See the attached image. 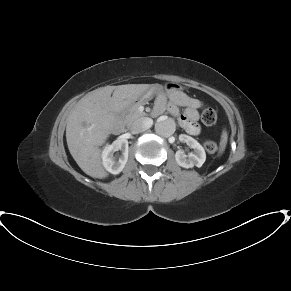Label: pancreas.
Returning <instances> with one entry per match:
<instances>
[{"instance_id":"cf45deb5","label":"pancreas","mask_w":291,"mask_h":291,"mask_svg":"<svg viewBox=\"0 0 291 291\" xmlns=\"http://www.w3.org/2000/svg\"><path fill=\"white\" fill-rule=\"evenodd\" d=\"M144 104V100H141L137 103L129 105L125 110H124V117L126 122L132 123L134 120L137 118H140L142 116H145L146 113L142 112L139 110V106Z\"/></svg>"}]
</instances>
